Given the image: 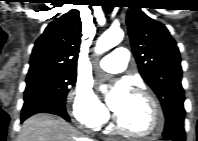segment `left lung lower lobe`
Segmentation results:
<instances>
[{
	"label": "left lung lower lobe",
	"mask_w": 198,
	"mask_h": 141,
	"mask_svg": "<svg viewBox=\"0 0 198 141\" xmlns=\"http://www.w3.org/2000/svg\"><path fill=\"white\" fill-rule=\"evenodd\" d=\"M185 110H176L166 118L163 137L173 141H185Z\"/></svg>",
	"instance_id": "obj_1"
}]
</instances>
